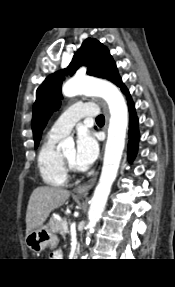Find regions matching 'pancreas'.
<instances>
[{"mask_svg":"<svg viewBox=\"0 0 175 287\" xmlns=\"http://www.w3.org/2000/svg\"><path fill=\"white\" fill-rule=\"evenodd\" d=\"M49 227L50 230L53 233H61L64 234V229H63V222L55 217H52L49 221Z\"/></svg>","mask_w":175,"mask_h":287,"instance_id":"obj_1","label":"pancreas"}]
</instances>
